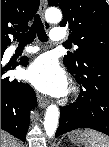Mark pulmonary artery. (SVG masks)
Returning <instances> with one entry per match:
<instances>
[{
    "label": "pulmonary artery",
    "mask_w": 109,
    "mask_h": 147,
    "mask_svg": "<svg viewBox=\"0 0 109 147\" xmlns=\"http://www.w3.org/2000/svg\"><path fill=\"white\" fill-rule=\"evenodd\" d=\"M49 37L54 42L62 43L65 40V34L62 32L53 31L50 32ZM39 51L38 47H29L25 50L26 53H36Z\"/></svg>",
    "instance_id": "1"
}]
</instances>
